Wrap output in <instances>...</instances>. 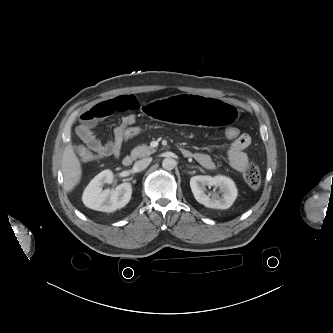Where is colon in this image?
I'll return each instance as SVG.
<instances>
[{
    "mask_svg": "<svg viewBox=\"0 0 333 333\" xmlns=\"http://www.w3.org/2000/svg\"><path fill=\"white\" fill-rule=\"evenodd\" d=\"M119 132L123 141H127L139 138L146 132V130L142 126L133 123L123 127ZM225 135L229 140L233 141L240 137L241 132L236 127H227L225 130ZM77 155L83 162H90L96 159L95 154L87 150H77ZM243 176L246 184L250 188L256 189L260 186L261 172L258 165L255 163H249L247 165L243 172Z\"/></svg>",
    "mask_w": 333,
    "mask_h": 333,
    "instance_id": "5ec220e1",
    "label": "colon"
}]
</instances>
